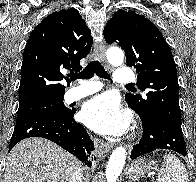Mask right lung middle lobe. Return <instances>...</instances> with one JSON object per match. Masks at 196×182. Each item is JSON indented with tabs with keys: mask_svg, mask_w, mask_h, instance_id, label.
<instances>
[{
	"mask_svg": "<svg viewBox=\"0 0 196 182\" xmlns=\"http://www.w3.org/2000/svg\"><path fill=\"white\" fill-rule=\"evenodd\" d=\"M63 103V96L37 100L19 106L17 122L39 115L64 116L71 112Z\"/></svg>",
	"mask_w": 196,
	"mask_h": 182,
	"instance_id": "obj_1",
	"label": "right lung middle lobe"
}]
</instances>
